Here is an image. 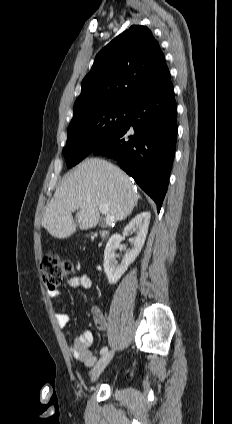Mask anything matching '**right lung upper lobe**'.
<instances>
[{
	"label": "right lung upper lobe",
	"instance_id": "1",
	"mask_svg": "<svg viewBox=\"0 0 232 424\" xmlns=\"http://www.w3.org/2000/svg\"><path fill=\"white\" fill-rule=\"evenodd\" d=\"M168 73L152 32L145 26L133 25L97 54L91 71L82 81L74 116L96 106H132Z\"/></svg>",
	"mask_w": 232,
	"mask_h": 424
}]
</instances>
